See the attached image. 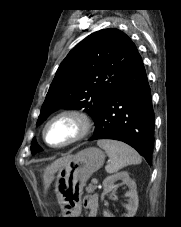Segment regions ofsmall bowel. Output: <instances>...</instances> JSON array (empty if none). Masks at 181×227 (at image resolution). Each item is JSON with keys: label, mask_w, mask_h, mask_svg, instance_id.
<instances>
[{"label": "small bowel", "mask_w": 181, "mask_h": 227, "mask_svg": "<svg viewBox=\"0 0 181 227\" xmlns=\"http://www.w3.org/2000/svg\"><path fill=\"white\" fill-rule=\"evenodd\" d=\"M84 206L89 210V216L95 217L98 214V197L96 195H87L84 198Z\"/></svg>", "instance_id": "1"}]
</instances>
